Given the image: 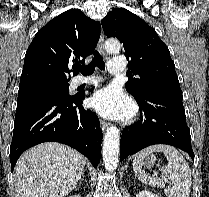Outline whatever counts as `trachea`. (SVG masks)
<instances>
[{
	"instance_id": "3493384b",
	"label": "trachea",
	"mask_w": 209,
	"mask_h": 197,
	"mask_svg": "<svg viewBox=\"0 0 209 197\" xmlns=\"http://www.w3.org/2000/svg\"><path fill=\"white\" fill-rule=\"evenodd\" d=\"M95 67H98L100 70L105 69V63L103 58L98 51L94 52V58L91 63L87 66H77V70L80 71L84 76L93 74Z\"/></svg>"
}]
</instances>
